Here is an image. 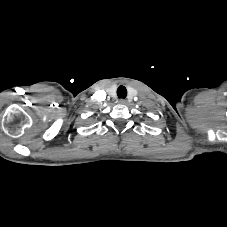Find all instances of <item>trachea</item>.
<instances>
[{
    "mask_svg": "<svg viewBox=\"0 0 227 227\" xmlns=\"http://www.w3.org/2000/svg\"><path fill=\"white\" fill-rule=\"evenodd\" d=\"M117 96L119 98H126L127 96V89L124 86H119L117 89Z\"/></svg>",
    "mask_w": 227,
    "mask_h": 227,
    "instance_id": "trachea-1",
    "label": "trachea"
}]
</instances>
